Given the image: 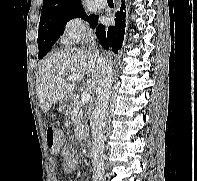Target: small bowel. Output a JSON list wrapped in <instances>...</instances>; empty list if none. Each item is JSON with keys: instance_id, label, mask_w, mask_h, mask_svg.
<instances>
[{"instance_id": "c3829d8e", "label": "small bowel", "mask_w": 197, "mask_h": 181, "mask_svg": "<svg viewBox=\"0 0 197 181\" xmlns=\"http://www.w3.org/2000/svg\"><path fill=\"white\" fill-rule=\"evenodd\" d=\"M51 152L52 154L60 153L62 157L63 170L66 173H71L77 169L79 165V160L74 149L71 148L70 146H64L61 150H58L56 152L55 151H51ZM56 165H57V161L55 158L52 157L50 159V166L52 168H55Z\"/></svg>"}]
</instances>
